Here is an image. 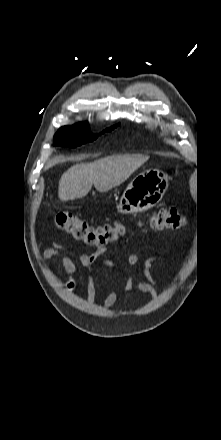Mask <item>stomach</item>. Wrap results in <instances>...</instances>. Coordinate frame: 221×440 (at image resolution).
<instances>
[{
	"instance_id": "0dacf381",
	"label": "stomach",
	"mask_w": 221,
	"mask_h": 440,
	"mask_svg": "<svg viewBox=\"0 0 221 440\" xmlns=\"http://www.w3.org/2000/svg\"><path fill=\"white\" fill-rule=\"evenodd\" d=\"M168 188V177L159 169L137 175L126 187L117 209L120 213L144 212L155 206Z\"/></svg>"
}]
</instances>
